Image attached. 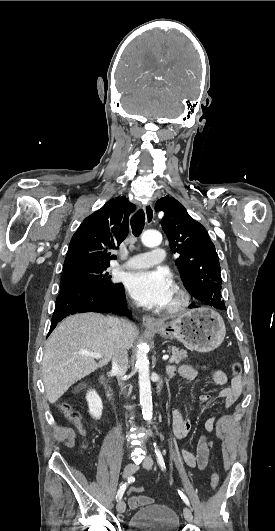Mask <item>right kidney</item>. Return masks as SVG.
<instances>
[{
  "mask_svg": "<svg viewBox=\"0 0 275 531\" xmlns=\"http://www.w3.org/2000/svg\"><path fill=\"white\" fill-rule=\"evenodd\" d=\"M85 387L86 385H84V383H79V385H77L75 389L76 393H78V391H82V389H85ZM86 401L88 403L89 413L91 417H93V419H101L103 405L99 395H97L94 389H90V391H87Z\"/></svg>",
  "mask_w": 275,
  "mask_h": 531,
  "instance_id": "ca27d5eb",
  "label": "right kidney"
}]
</instances>
